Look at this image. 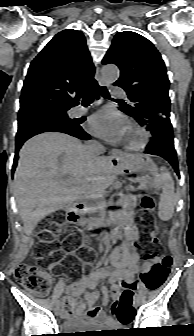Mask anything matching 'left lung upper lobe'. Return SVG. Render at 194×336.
I'll list each match as a JSON object with an SVG mask.
<instances>
[{"instance_id":"obj_1","label":"left lung upper lobe","mask_w":194,"mask_h":336,"mask_svg":"<svg viewBox=\"0 0 194 336\" xmlns=\"http://www.w3.org/2000/svg\"><path fill=\"white\" fill-rule=\"evenodd\" d=\"M116 64L120 78L114 83L122 87L132 105L121 111L136 119L141 126L170 116L169 80L160 53L145 37L131 31L116 34L102 64Z\"/></svg>"}]
</instances>
